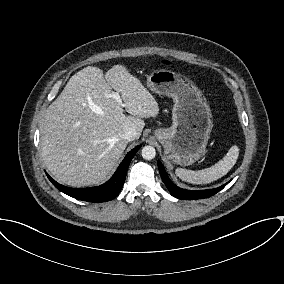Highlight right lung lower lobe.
<instances>
[{
	"label": "right lung lower lobe",
	"instance_id": "98d812e1",
	"mask_svg": "<svg viewBox=\"0 0 284 284\" xmlns=\"http://www.w3.org/2000/svg\"><path fill=\"white\" fill-rule=\"evenodd\" d=\"M139 148L140 146H137L131 150L121 162L112 178L101 186L92 188H69L57 183L49 175L47 176L58 190L75 199L88 202L110 201L121 191L126 178L128 166Z\"/></svg>",
	"mask_w": 284,
	"mask_h": 284
}]
</instances>
